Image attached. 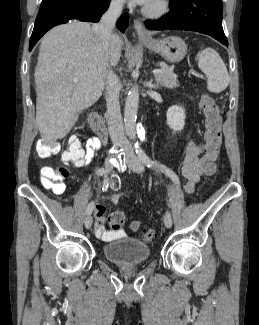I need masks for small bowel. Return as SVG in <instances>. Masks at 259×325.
<instances>
[{
    "instance_id": "obj_1",
    "label": "small bowel",
    "mask_w": 259,
    "mask_h": 325,
    "mask_svg": "<svg viewBox=\"0 0 259 325\" xmlns=\"http://www.w3.org/2000/svg\"><path fill=\"white\" fill-rule=\"evenodd\" d=\"M81 144V143H80ZM102 147V141L98 137H91L86 140L84 147H82V155L79 159L73 161L76 167H82L92 161L95 151ZM218 150L210 152L204 149L202 145L193 141L188 142L185 150V157L181 167L182 176L186 179L185 191L192 193L195 184L200 180L205 168L209 164H213L218 155ZM49 167H44L46 169ZM112 202H118V195H112ZM105 212L103 205H97L95 209V234L102 240H111L118 237H124L125 233L122 230L113 231L105 227Z\"/></svg>"
}]
</instances>
